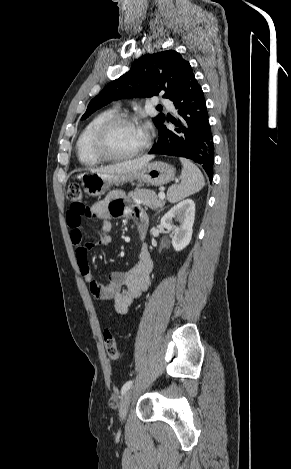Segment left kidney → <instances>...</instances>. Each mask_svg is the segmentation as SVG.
I'll use <instances>...</instances> for the list:
<instances>
[{"instance_id":"1","label":"left kidney","mask_w":291,"mask_h":469,"mask_svg":"<svg viewBox=\"0 0 291 469\" xmlns=\"http://www.w3.org/2000/svg\"><path fill=\"white\" fill-rule=\"evenodd\" d=\"M194 219L195 203L191 199L178 203L161 218V225L169 231L172 230V246L176 251L183 250L190 243ZM173 220L180 225L175 226Z\"/></svg>"}]
</instances>
